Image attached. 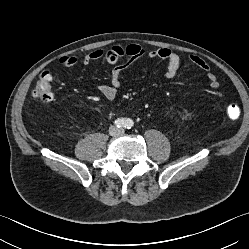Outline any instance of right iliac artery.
Returning a JSON list of instances; mask_svg holds the SVG:
<instances>
[{
	"instance_id": "82829eb1",
	"label": "right iliac artery",
	"mask_w": 249,
	"mask_h": 249,
	"mask_svg": "<svg viewBox=\"0 0 249 249\" xmlns=\"http://www.w3.org/2000/svg\"><path fill=\"white\" fill-rule=\"evenodd\" d=\"M115 125L118 127V128H122V127H125V124H126V120L124 118H118L115 120Z\"/></svg>"
}]
</instances>
